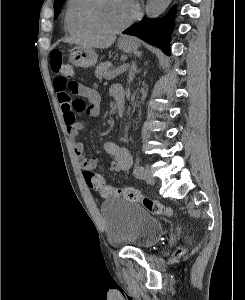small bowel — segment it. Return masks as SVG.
I'll return each instance as SVG.
<instances>
[{
	"mask_svg": "<svg viewBox=\"0 0 245 300\" xmlns=\"http://www.w3.org/2000/svg\"><path fill=\"white\" fill-rule=\"evenodd\" d=\"M53 86L63 113L69 139L87 182V176L90 173H94V169L98 165V160L89 155L85 150L80 135L81 131L85 128V123L77 119V113L84 111L89 116H97L101 109V94L97 89L77 82H74V87H70L69 82L60 76L55 77ZM118 91L122 92L119 87H114L112 90L113 95ZM71 95L78 96V99H85L87 101L83 110L79 111L74 108V100ZM103 149L113 158L109 168L110 173L126 171L131 167L132 156L126 148L119 146L115 142L106 141L103 143Z\"/></svg>",
	"mask_w": 245,
	"mask_h": 300,
	"instance_id": "obj_1",
	"label": "small bowel"
}]
</instances>
